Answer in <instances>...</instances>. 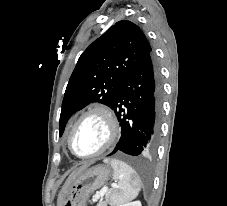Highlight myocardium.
Instances as JSON below:
<instances>
[{
  "label": "myocardium",
  "mask_w": 227,
  "mask_h": 206,
  "mask_svg": "<svg viewBox=\"0 0 227 206\" xmlns=\"http://www.w3.org/2000/svg\"><path fill=\"white\" fill-rule=\"evenodd\" d=\"M94 114L100 115L105 120V122L107 124V128H108L107 139H106L105 143L98 150H96L90 154L78 155V154L74 153V151L72 150V147H71L72 134H73L74 130L76 129V127L79 125V123L83 119H85L86 117H88L90 115H94ZM119 133H120L119 123H118V120H117V117H116L114 111L105 104H96V105L89 107L84 112H82L79 115V117L75 120V122L72 124V126L69 129L68 134H67V139H66L67 149L72 155H74L77 158L87 159V158L96 157V156L104 153L108 149H110L116 143V141L118 140V137H119Z\"/></svg>",
  "instance_id": "myocardium-1"
}]
</instances>
